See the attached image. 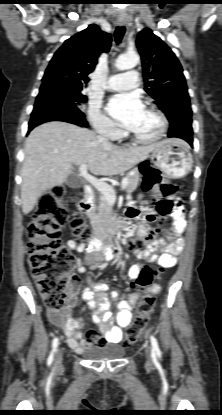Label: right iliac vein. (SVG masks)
<instances>
[{
	"mask_svg": "<svg viewBox=\"0 0 222 415\" xmlns=\"http://www.w3.org/2000/svg\"><path fill=\"white\" fill-rule=\"evenodd\" d=\"M62 358H63V352L61 349L58 350L57 353V365H60L62 362Z\"/></svg>",
	"mask_w": 222,
	"mask_h": 415,
	"instance_id": "obj_1",
	"label": "right iliac vein"
}]
</instances>
